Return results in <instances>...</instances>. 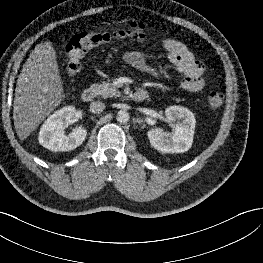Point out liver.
<instances>
[{
	"label": "liver",
	"instance_id": "liver-1",
	"mask_svg": "<svg viewBox=\"0 0 263 263\" xmlns=\"http://www.w3.org/2000/svg\"><path fill=\"white\" fill-rule=\"evenodd\" d=\"M64 97L56 53L50 41L38 44L25 62L15 89L13 120L25 140Z\"/></svg>",
	"mask_w": 263,
	"mask_h": 263
}]
</instances>
